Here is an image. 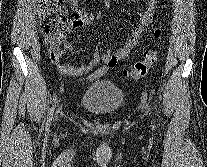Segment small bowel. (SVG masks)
Segmentation results:
<instances>
[{
  "mask_svg": "<svg viewBox=\"0 0 207 167\" xmlns=\"http://www.w3.org/2000/svg\"><path fill=\"white\" fill-rule=\"evenodd\" d=\"M74 13L72 20L68 25V31L72 32L83 25L90 24L94 21V15L88 12L81 4L80 0H67ZM157 0H144L142 9L138 12L139 20L127 40L116 50L111 46L104 53H100L95 49L92 61L80 67H73L65 64L62 57L65 51L74 49V43L71 39H65L64 35L56 45H50L49 54L52 62L58 71L65 75L78 77L83 81L95 80L107 71L115 67L121 59L126 58L133 48L137 45L143 33L150 26L153 15L156 10ZM64 45L65 50H61L60 46Z\"/></svg>",
  "mask_w": 207,
  "mask_h": 167,
  "instance_id": "obj_1",
  "label": "small bowel"
}]
</instances>
